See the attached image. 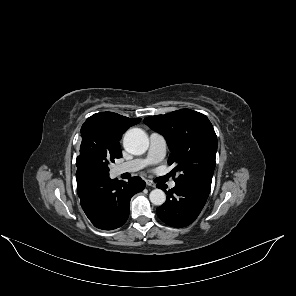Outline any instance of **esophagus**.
Listing matches in <instances>:
<instances>
[{"instance_id":"esophagus-1","label":"esophagus","mask_w":296,"mask_h":296,"mask_svg":"<svg viewBox=\"0 0 296 296\" xmlns=\"http://www.w3.org/2000/svg\"><path fill=\"white\" fill-rule=\"evenodd\" d=\"M146 184L150 187H156V184L152 180H147Z\"/></svg>"}]
</instances>
